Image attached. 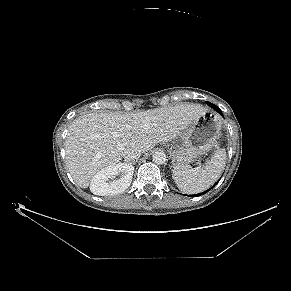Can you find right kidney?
<instances>
[{
    "label": "right kidney",
    "mask_w": 291,
    "mask_h": 291,
    "mask_svg": "<svg viewBox=\"0 0 291 291\" xmlns=\"http://www.w3.org/2000/svg\"><path fill=\"white\" fill-rule=\"evenodd\" d=\"M133 172L134 167L127 163L105 167L92 178L90 190L99 196L119 194L129 187Z\"/></svg>",
    "instance_id": "obj_1"
}]
</instances>
